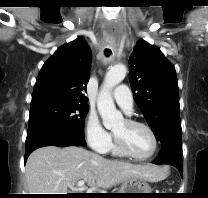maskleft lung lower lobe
<instances>
[{"label": "left lung lower lobe", "mask_w": 208, "mask_h": 198, "mask_svg": "<svg viewBox=\"0 0 208 198\" xmlns=\"http://www.w3.org/2000/svg\"><path fill=\"white\" fill-rule=\"evenodd\" d=\"M182 154L172 149H162L159 157L153 161L154 164H170L175 166L182 176Z\"/></svg>", "instance_id": "0a47b994"}]
</instances>
